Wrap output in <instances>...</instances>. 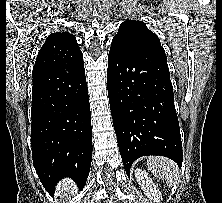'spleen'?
I'll list each match as a JSON object with an SVG mask.
<instances>
[{"instance_id":"spleen-1","label":"spleen","mask_w":222,"mask_h":203,"mask_svg":"<svg viewBox=\"0 0 222 203\" xmlns=\"http://www.w3.org/2000/svg\"><path fill=\"white\" fill-rule=\"evenodd\" d=\"M147 165L152 174L165 180L167 186L173 187L179 178V169L175 162L163 156H149Z\"/></svg>"}]
</instances>
